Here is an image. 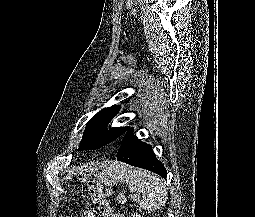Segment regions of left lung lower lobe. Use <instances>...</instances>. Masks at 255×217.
Segmentation results:
<instances>
[{"label": "left lung lower lobe", "mask_w": 255, "mask_h": 217, "mask_svg": "<svg viewBox=\"0 0 255 217\" xmlns=\"http://www.w3.org/2000/svg\"><path fill=\"white\" fill-rule=\"evenodd\" d=\"M117 160L152 171L166 178L167 171L163 164L156 159L152 147L140 141L133 134V128H129L122 137L117 151Z\"/></svg>", "instance_id": "obj_1"}]
</instances>
